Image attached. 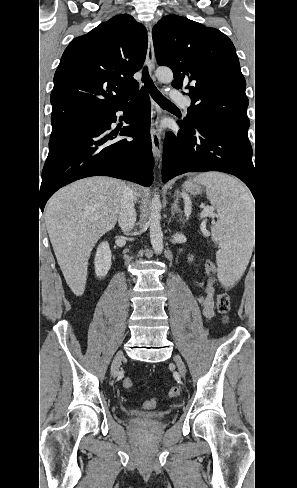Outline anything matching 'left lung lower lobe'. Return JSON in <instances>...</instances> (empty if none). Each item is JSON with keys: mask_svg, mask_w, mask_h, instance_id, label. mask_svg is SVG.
<instances>
[{"mask_svg": "<svg viewBox=\"0 0 297 488\" xmlns=\"http://www.w3.org/2000/svg\"><path fill=\"white\" fill-rule=\"evenodd\" d=\"M178 124V133L168 132L165 137L163 182L186 172L220 171L235 175L256 195V167L249 140L184 122Z\"/></svg>", "mask_w": 297, "mask_h": 488, "instance_id": "left-lung-lower-lobe-1", "label": "left lung lower lobe"}]
</instances>
